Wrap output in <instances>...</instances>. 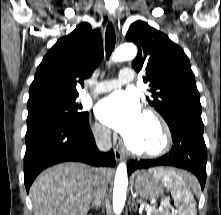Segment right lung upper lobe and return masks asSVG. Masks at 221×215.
I'll list each match as a JSON object with an SVG mask.
<instances>
[{
	"mask_svg": "<svg viewBox=\"0 0 221 215\" xmlns=\"http://www.w3.org/2000/svg\"><path fill=\"white\" fill-rule=\"evenodd\" d=\"M103 57L99 29L83 22L60 38L37 68L30 86L28 107L53 101L76 99V87L91 76Z\"/></svg>",
	"mask_w": 221,
	"mask_h": 215,
	"instance_id": "cb5924a9",
	"label": "right lung upper lobe"
}]
</instances>
